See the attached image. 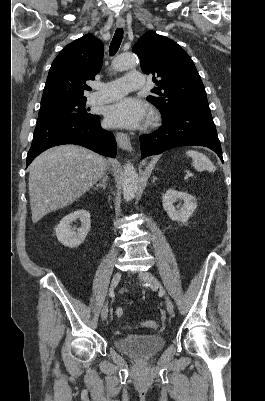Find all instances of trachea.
Masks as SVG:
<instances>
[{
    "instance_id": "trachea-1",
    "label": "trachea",
    "mask_w": 265,
    "mask_h": 401,
    "mask_svg": "<svg viewBox=\"0 0 265 401\" xmlns=\"http://www.w3.org/2000/svg\"><path fill=\"white\" fill-rule=\"evenodd\" d=\"M123 34H124V32H123L122 28H118L116 30L114 37L112 39L111 45H110V50H109L110 55H114L117 52V50L119 49L120 44L123 39Z\"/></svg>"
}]
</instances>
